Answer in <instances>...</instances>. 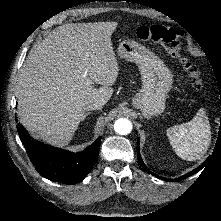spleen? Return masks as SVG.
<instances>
[{"mask_svg":"<svg viewBox=\"0 0 221 221\" xmlns=\"http://www.w3.org/2000/svg\"><path fill=\"white\" fill-rule=\"evenodd\" d=\"M167 137L179 157L188 161L202 158L211 140L205 110L201 108L191 121L167 129Z\"/></svg>","mask_w":221,"mask_h":221,"instance_id":"3e777b00","label":"spleen"}]
</instances>
